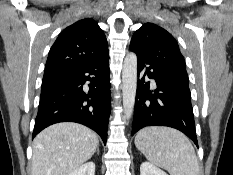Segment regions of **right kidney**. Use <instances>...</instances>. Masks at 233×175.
<instances>
[{
    "instance_id": "1",
    "label": "right kidney",
    "mask_w": 233,
    "mask_h": 175,
    "mask_svg": "<svg viewBox=\"0 0 233 175\" xmlns=\"http://www.w3.org/2000/svg\"><path fill=\"white\" fill-rule=\"evenodd\" d=\"M69 175H95V164L94 162H87L76 168Z\"/></svg>"
}]
</instances>
